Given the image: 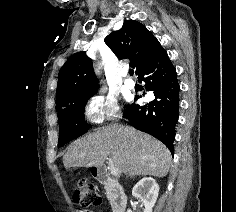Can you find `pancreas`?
<instances>
[{"label":"pancreas","mask_w":236,"mask_h":212,"mask_svg":"<svg viewBox=\"0 0 236 212\" xmlns=\"http://www.w3.org/2000/svg\"><path fill=\"white\" fill-rule=\"evenodd\" d=\"M106 194H107V197L109 198L110 194L108 190L106 191Z\"/></svg>","instance_id":"cf45deb5"}]
</instances>
